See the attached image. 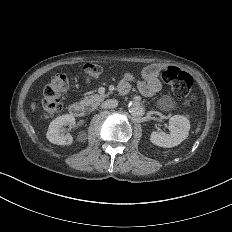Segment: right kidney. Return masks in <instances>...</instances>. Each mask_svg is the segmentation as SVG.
<instances>
[{
	"instance_id": "obj_1",
	"label": "right kidney",
	"mask_w": 232,
	"mask_h": 232,
	"mask_svg": "<svg viewBox=\"0 0 232 232\" xmlns=\"http://www.w3.org/2000/svg\"><path fill=\"white\" fill-rule=\"evenodd\" d=\"M74 125L75 118L72 115L59 116L50 123L46 137L53 144L70 145L73 142V137L69 133H65L64 126L72 127Z\"/></svg>"
}]
</instances>
